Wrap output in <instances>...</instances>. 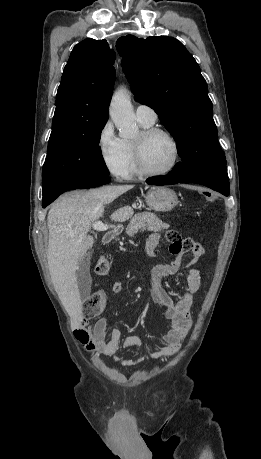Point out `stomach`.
<instances>
[{
    "mask_svg": "<svg viewBox=\"0 0 261 459\" xmlns=\"http://www.w3.org/2000/svg\"><path fill=\"white\" fill-rule=\"evenodd\" d=\"M145 200L148 207L157 212L171 211L178 204L176 193L165 186L151 187Z\"/></svg>",
    "mask_w": 261,
    "mask_h": 459,
    "instance_id": "stomach-1",
    "label": "stomach"
}]
</instances>
